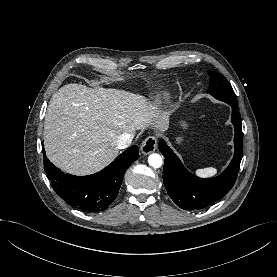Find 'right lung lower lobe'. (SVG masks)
Instances as JSON below:
<instances>
[{
	"label": "right lung lower lobe",
	"mask_w": 277,
	"mask_h": 277,
	"mask_svg": "<svg viewBox=\"0 0 277 277\" xmlns=\"http://www.w3.org/2000/svg\"><path fill=\"white\" fill-rule=\"evenodd\" d=\"M136 145L118 156L108 167L90 176L64 174L44 154V169L60 197L72 207L84 212H100L116 198L124 172L139 157Z\"/></svg>",
	"instance_id": "right-lung-lower-lobe-1"
}]
</instances>
